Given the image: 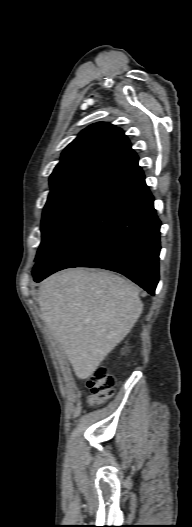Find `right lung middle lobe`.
I'll return each mask as SVG.
<instances>
[{
    "label": "right lung middle lobe",
    "mask_w": 192,
    "mask_h": 527,
    "mask_svg": "<svg viewBox=\"0 0 192 527\" xmlns=\"http://www.w3.org/2000/svg\"><path fill=\"white\" fill-rule=\"evenodd\" d=\"M107 181L83 179L52 188L44 207L42 242L35 261L41 260Z\"/></svg>",
    "instance_id": "dd1d6c3e"
}]
</instances>
